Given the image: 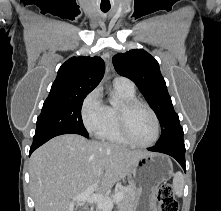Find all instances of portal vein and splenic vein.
<instances>
[{
	"instance_id": "obj_1",
	"label": "portal vein and splenic vein",
	"mask_w": 221,
	"mask_h": 211,
	"mask_svg": "<svg viewBox=\"0 0 221 211\" xmlns=\"http://www.w3.org/2000/svg\"><path fill=\"white\" fill-rule=\"evenodd\" d=\"M97 184L90 186L83 193L76 195L72 199V204L75 202H88L95 203L97 206L104 211H111L113 208V203H118L123 199V193L117 192L111 199L103 194H95L94 190Z\"/></svg>"
}]
</instances>
